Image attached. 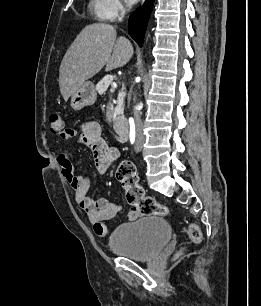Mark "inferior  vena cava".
Returning a JSON list of instances; mask_svg holds the SVG:
<instances>
[{
	"mask_svg": "<svg viewBox=\"0 0 261 306\" xmlns=\"http://www.w3.org/2000/svg\"><path fill=\"white\" fill-rule=\"evenodd\" d=\"M134 117H135V123H136L137 132H138V134L140 136H142L143 131H142V120H141L140 112L139 111H135L134 112Z\"/></svg>",
	"mask_w": 261,
	"mask_h": 306,
	"instance_id": "inferior-vena-cava-1",
	"label": "inferior vena cava"
}]
</instances>
